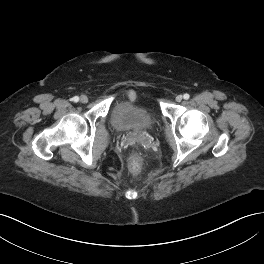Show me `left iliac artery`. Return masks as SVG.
Instances as JSON below:
<instances>
[{"label":"left iliac artery","instance_id":"obj_1","mask_svg":"<svg viewBox=\"0 0 264 264\" xmlns=\"http://www.w3.org/2000/svg\"><path fill=\"white\" fill-rule=\"evenodd\" d=\"M183 97H184V99H189V97H190V95L189 94H187V93H185L184 95H183Z\"/></svg>","mask_w":264,"mask_h":264}]
</instances>
